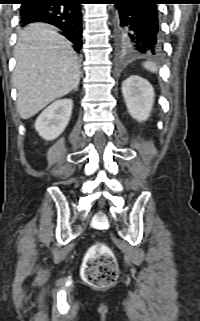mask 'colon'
Returning a JSON list of instances; mask_svg holds the SVG:
<instances>
[{
  "mask_svg": "<svg viewBox=\"0 0 200 321\" xmlns=\"http://www.w3.org/2000/svg\"><path fill=\"white\" fill-rule=\"evenodd\" d=\"M117 274V263L110 248L103 243L93 245L84 262V279L90 285L104 287L113 283Z\"/></svg>",
  "mask_w": 200,
  "mask_h": 321,
  "instance_id": "obj_1",
  "label": "colon"
}]
</instances>
